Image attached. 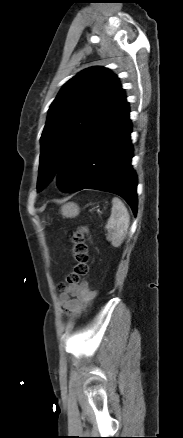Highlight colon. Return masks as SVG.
Returning <instances> with one entry per match:
<instances>
[{
    "instance_id": "1",
    "label": "colon",
    "mask_w": 183,
    "mask_h": 438,
    "mask_svg": "<svg viewBox=\"0 0 183 438\" xmlns=\"http://www.w3.org/2000/svg\"><path fill=\"white\" fill-rule=\"evenodd\" d=\"M88 233V227L82 225L71 234V251L75 264L71 272L66 276L65 281L60 284L61 289H65L70 285L79 284L81 279L88 272V249L85 242V237Z\"/></svg>"
}]
</instances>
